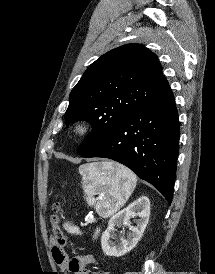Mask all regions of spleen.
<instances>
[{
  "mask_svg": "<svg viewBox=\"0 0 215 274\" xmlns=\"http://www.w3.org/2000/svg\"><path fill=\"white\" fill-rule=\"evenodd\" d=\"M79 173L88 205H94L103 218L110 217L126 203L137 182L132 171L121 165L114 167L111 162L81 165ZM65 228L74 232L67 224Z\"/></svg>",
  "mask_w": 215,
  "mask_h": 274,
  "instance_id": "3e777b00",
  "label": "spleen"
}]
</instances>
